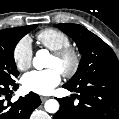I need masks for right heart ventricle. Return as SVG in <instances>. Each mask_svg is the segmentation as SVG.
<instances>
[{
  "instance_id": "obj_1",
  "label": "right heart ventricle",
  "mask_w": 119,
  "mask_h": 119,
  "mask_svg": "<svg viewBox=\"0 0 119 119\" xmlns=\"http://www.w3.org/2000/svg\"><path fill=\"white\" fill-rule=\"evenodd\" d=\"M36 39L42 47L51 51L71 45L69 36L65 32L54 28L41 30L37 33Z\"/></svg>"
}]
</instances>
